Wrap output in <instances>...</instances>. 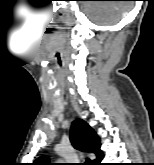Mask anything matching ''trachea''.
Wrapping results in <instances>:
<instances>
[{
	"label": "trachea",
	"instance_id": "3493384b",
	"mask_svg": "<svg viewBox=\"0 0 154 165\" xmlns=\"http://www.w3.org/2000/svg\"><path fill=\"white\" fill-rule=\"evenodd\" d=\"M91 163H90V160L89 159H87L86 160V162L85 163H83L82 165H90Z\"/></svg>",
	"mask_w": 154,
	"mask_h": 165
}]
</instances>
